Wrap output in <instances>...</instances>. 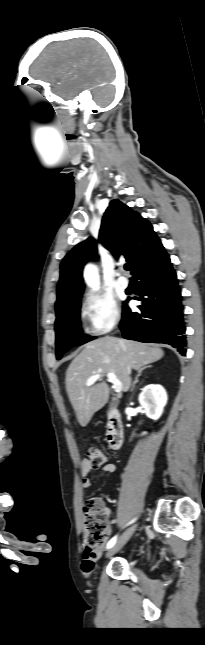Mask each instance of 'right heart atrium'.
Returning <instances> with one entry per match:
<instances>
[{
    "instance_id": "d8ad5b80",
    "label": "right heart atrium",
    "mask_w": 205,
    "mask_h": 645,
    "mask_svg": "<svg viewBox=\"0 0 205 645\" xmlns=\"http://www.w3.org/2000/svg\"><path fill=\"white\" fill-rule=\"evenodd\" d=\"M80 311L87 322V331L93 335L109 333L119 324L122 317L115 299L102 293L86 294Z\"/></svg>"
}]
</instances>
